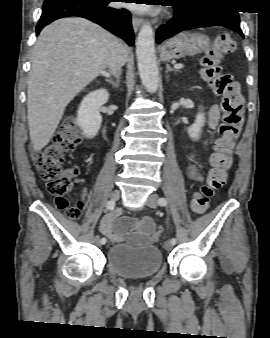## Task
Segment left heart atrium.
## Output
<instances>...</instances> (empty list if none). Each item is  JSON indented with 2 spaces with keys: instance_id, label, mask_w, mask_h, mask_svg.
<instances>
[{
  "instance_id": "left-heart-atrium-1",
  "label": "left heart atrium",
  "mask_w": 270,
  "mask_h": 338,
  "mask_svg": "<svg viewBox=\"0 0 270 338\" xmlns=\"http://www.w3.org/2000/svg\"><path fill=\"white\" fill-rule=\"evenodd\" d=\"M138 8H141V10L144 11V10H147L149 8V6L148 5H144V6H140Z\"/></svg>"
}]
</instances>
